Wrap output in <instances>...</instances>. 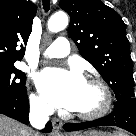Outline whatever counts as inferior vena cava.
<instances>
[{"instance_id": "obj_1", "label": "inferior vena cava", "mask_w": 136, "mask_h": 136, "mask_svg": "<svg viewBox=\"0 0 136 136\" xmlns=\"http://www.w3.org/2000/svg\"><path fill=\"white\" fill-rule=\"evenodd\" d=\"M54 112L52 106L45 103H35L30 106L29 120L33 127L42 129L49 120V115Z\"/></svg>"}]
</instances>
